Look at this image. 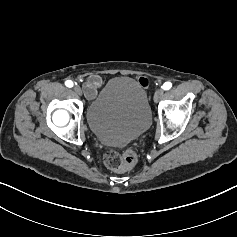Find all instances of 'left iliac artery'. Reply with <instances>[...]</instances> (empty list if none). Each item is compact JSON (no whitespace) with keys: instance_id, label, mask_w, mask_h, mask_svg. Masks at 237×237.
<instances>
[{"instance_id":"1","label":"left iliac artery","mask_w":237,"mask_h":237,"mask_svg":"<svg viewBox=\"0 0 237 237\" xmlns=\"http://www.w3.org/2000/svg\"><path fill=\"white\" fill-rule=\"evenodd\" d=\"M172 87V83L171 82H165L162 86V88L164 90H169Z\"/></svg>"}]
</instances>
